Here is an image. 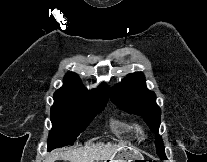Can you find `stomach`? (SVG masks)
<instances>
[{
    "instance_id": "stomach-1",
    "label": "stomach",
    "mask_w": 207,
    "mask_h": 162,
    "mask_svg": "<svg viewBox=\"0 0 207 162\" xmlns=\"http://www.w3.org/2000/svg\"><path fill=\"white\" fill-rule=\"evenodd\" d=\"M144 160L140 152L131 147L123 146L114 154L112 159L104 162H145Z\"/></svg>"
}]
</instances>
